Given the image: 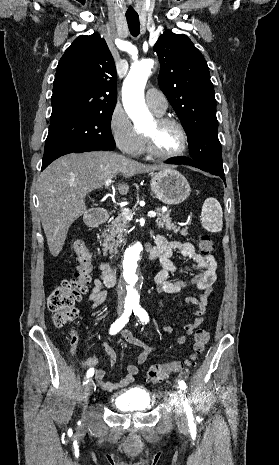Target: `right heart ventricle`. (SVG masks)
<instances>
[{"mask_svg": "<svg viewBox=\"0 0 279 465\" xmlns=\"http://www.w3.org/2000/svg\"><path fill=\"white\" fill-rule=\"evenodd\" d=\"M158 115H160V114H158ZM145 151H146V149H145L144 137H143V135H139V145H138V148H137L135 154H142Z\"/></svg>", "mask_w": 279, "mask_h": 465, "instance_id": "right-heart-ventricle-1", "label": "right heart ventricle"}]
</instances>
